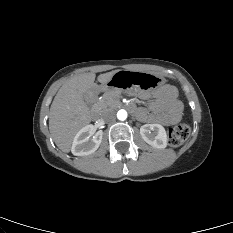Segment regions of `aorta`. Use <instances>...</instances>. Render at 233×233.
I'll return each instance as SVG.
<instances>
[{
    "instance_id": "obj_1",
    "label": "aorta",
    "mask_w": 233,
    "mask_h": 233,
    "mask_svg": "<svg viewBox=\"0 0 233 233\" xmlns=\"http://www.w3.org/2000/svg\"><path fill=\"white\" fill-rule=\"evenodd\" d=\"M117 118L121 121L126 120L127 118V111L124 109H121L117 112Z\"/></svg>"
}]
</instances>
